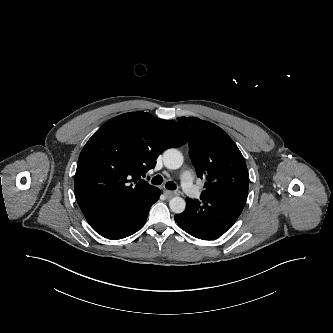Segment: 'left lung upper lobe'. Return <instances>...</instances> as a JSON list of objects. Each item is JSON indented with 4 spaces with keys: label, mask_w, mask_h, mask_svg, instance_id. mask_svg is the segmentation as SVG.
Instances as JSON below:
<instances>
[{
    "label": "left lung upper lobe",
    "mask_w": 333,
    "mask_h": 333,
    "mask_svg": "<svg viewBox=\"0 0 333 333\" xmlns=\"http://www.w3.org/2000/svg\"><path fill=\"white\" fill-rule=\"evenodd\" d=\"M177 119L189 135V153L197 174L206 180L201 195L249 182L245 159L224 130L196 117Z\"/></svg>",
    "instance_id": "left-lung-upper-lobe-1"
}]
</instances>
